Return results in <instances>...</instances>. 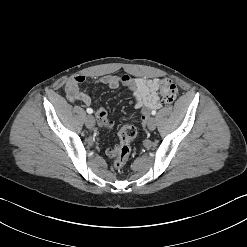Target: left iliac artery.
Wrapping results in <instances>:
<instances>
[{
    "instance_id": "left-iliac-artery-1",
    "label": "left iliac artery",
    "mask_w": 247,
    "mask_h": 247,
    "mask_svg": "<svg viewBox=\"0 0 247 247\" xmlns=\"http://www.w3.org/2000/svg\"><path fill=\"white\" fill-rule=\"evenodd\" d=\"M151 114H152V115H155V114H156V110H153V111L151 112Z\"/></svg>"
}]
</instances>
